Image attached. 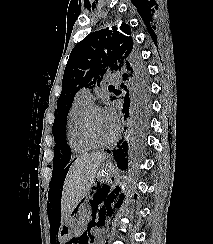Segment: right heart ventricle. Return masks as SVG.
<instances>
[{
	"instance_id": "right-heart-ventricle-1",
	"label": "right heart ventricle",
	"mask_w": 213,
	"mask_h": 244,
	"mask_svg": "<svg viewBox=\"0 0 213 244\" xmlns=\"http://www.w3.org/2000/svg\"><path fill=\"white\" fill-rule=\"evenodd\" d=\"M91 103L77 95L67 115L66 139L70 148L76 153H86L95 148L82 132V118Z\"/></svg>"
}]
</instances>
